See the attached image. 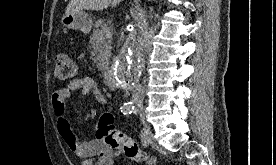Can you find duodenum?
I'll return each instance as SVG.
<instances>
[{"mask_svg":"<svg viewBox=\"0 0 276 165\" xmlns=\"http://www.w3.org/2000/svg\"><path fill=\"white\" fill-rule=\"evenodd\" d=\"M104 78H105V82L109 88H111V89L117 88V82H116L115 77L111 71H109V70L105 71Z\"/></svg>","mask_w":276,"mask_h":165,"instance_id":"1","label":"duodenum"}]
</instances>
